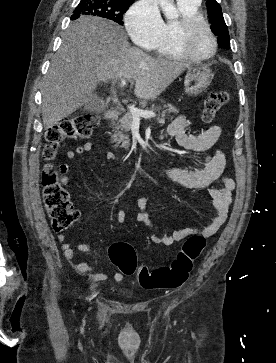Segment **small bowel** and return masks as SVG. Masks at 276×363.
Masks as SVG:
<instances>
[{
    "label": "small bowel",
    "mask_w": 276,
    "mask_h": 363,
    "mask_svg": "<svg viewBox=\"0 0 276 363\" xmlns=\"http://www.w3.org/2000/svg\"><path fill=\"white\" fill-rule=\"evenodd\" d=\"M192 119L186 116H176L166 127L162 130V137H174L177 143L185 149L195 152H205L212 149L219 141L222 129L218 125L210 126L206 131L200 134H187L186 128L191 124ZM96 142H87L83 145L77 146L74 150L67 152V158L70 160L75 159L78 155L87 153L92 150ZM108 158L113 159L114 155L109 153ZM205 167L199 170H186L180 168H166L159 171V174L166 180L190 189H203L209 187L213 182L220 179L226 166V156L223 150L217 149L213 155H207L204 158ZM64 172L71 170V165L65 163L61 166ZM70 181L69 176H63L60 180L61 184H66ZM235 180L231 177H224L221 179L220 187L213 188L210 191L211 198L214 205V214L209 222L202 228H183L174 231L170 235H157L151 236L152 242L160 245H173L176 242L190 236L201 235L204 237L211 236L217 232L220 226L227 218L228 209L232 203V193L235 189ZM150 196H142L137 201L139 212L134 218L133 222L141 223L149 229H156V225L151 220V213L147 210V204ZM116 223H123L126 221V212L120 210L115 216ZM58 241L61 243V248L65 258L70 262L72 267L79 273L85 274L93 283L103 282L109 279L106 273H96L92 266L85 262L76 261L75 250L71 245L66 242V237L63 234L57 236ZM76 251L86 253L90 251L88 243H81L76 247ZM116 282H121L124 279V274L116 272L113 275Z\"/></svg>",
    "instance_id": "c3829d8e"
}]
</instances>
